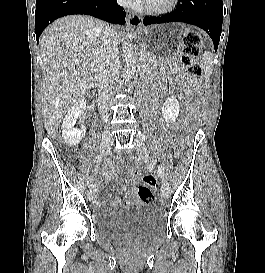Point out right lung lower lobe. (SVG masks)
Returning a JSON list of instances; mask_svg holds the SVG:
<instances>
[{
	"instance_id": "98d812e1",
	"label": "right lung lower lobe",
	"mask_w": 265,
	"mask_h": 273,
	"mask_svg": "<svg viewBox=\"0 0 265 273\" xmlns=\"http://www.w3.org/2000/svg\"><path fill=\"white\" fill-rule=\"evenodd\" d=\"M71 14H86L114 24H125L126 13L116 0H36V39L55 19Z\"/></svg>"
}]
</instances>
